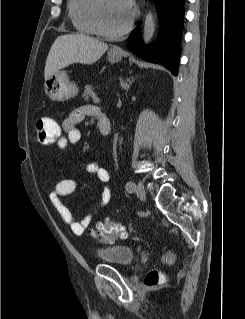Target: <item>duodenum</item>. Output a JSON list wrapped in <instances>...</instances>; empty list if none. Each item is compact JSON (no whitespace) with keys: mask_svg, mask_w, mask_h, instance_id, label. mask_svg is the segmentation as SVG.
Returning <instances> with one entry per match:
<instances>
[{"mask_svg":"<svg viewBox=\"0 0 245 319\" xmlns=\"http://www.w3.org/2000/svg\"><path fill=\"white\" fill-rule=\"evenodd\" d=\"M98 128H99L100 133L104 136H106L110 133L111 122H110L107 115L102 113L98 116Z\"/></svg>","mask_w":245,"mask_h":319,"instance_id":"1","label":"duodenum"}]
</instances>
